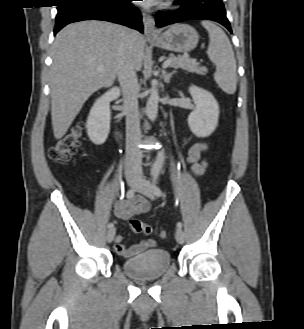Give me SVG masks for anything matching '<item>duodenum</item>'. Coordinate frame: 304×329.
Masks as SVG:
<instances>
[{"label":"duodenum","mask_w":304,"mask_h":329,"mask_svg":"<svg viewBox=\"0 0 304 329\" xmlns=\"http://www.w3.org/2000/svg\"><path fill=\"white\" fill-rule=\"evenodd\" d=\"M115 135L117 138L119 137V130H116Z\"/></svg>","instance_id":"duodenum-1"}]
</instances>
